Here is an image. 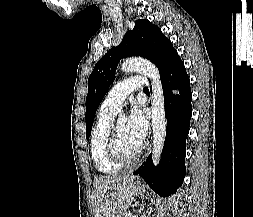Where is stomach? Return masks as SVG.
Wrapping results in <instances>:
<instances>
[{
	"instance_id": "stomach-1",
	"label": "stomach",
	"mask_w": 253,
	"mask_h": 217,
	"mask_svg": "<svg viewBox=\"0 0 253 217\" xmlns=\"http://www.w3.org/2000/svg\"><path fill=\"white\" fill-rule=\"evenodd\" d=\"M134 188L136 192H142L145 189L144 185L139 181L134 182Z\"/></svg>"
}]
</instances>
